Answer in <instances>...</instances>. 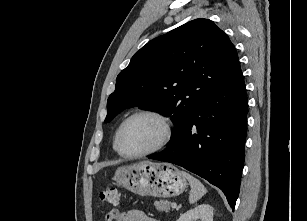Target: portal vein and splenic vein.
Instances as JSON below:
<instances>
[{
	"label": "portal vein and splenic vein",
	"mask_w": 307,
	"mask_h": 221,
	"mask_svg": "<svg viewBox=\"0 0 307 221\" xmlns=\"http://www.w3.org/2000/svg\"><path fill=\"white\" fill-rule=\"evenodd\" d=\"M171 207H172L173 209H175V208L177 207V204H176V203H172V204H171Z\"/></svg>",
	"instance_id": "obj_1"
}]
</instances>
